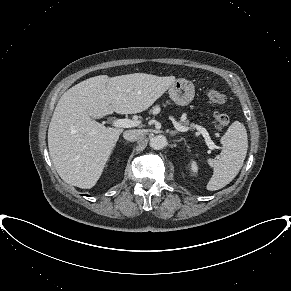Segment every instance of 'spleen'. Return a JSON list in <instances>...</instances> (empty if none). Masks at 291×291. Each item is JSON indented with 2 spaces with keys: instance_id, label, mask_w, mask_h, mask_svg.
<instances>
[{
  "instance_id": "obj_1",
  "label": "spleen",
  "mask_w": 291,
  "mask_h": 291,
  "mask_svg": "<svg viewBox=\"0 0 291 291\" xmlns=\"http://www.w3.org/2000/svg\"><path fill=\"white\" fill-rule=\"evenodd\" d=\"M223 150L216 159H208L213 167V175L207 184V190L215 191L225 187L238 174L243 166L247 149L248 138L244 125L233 122L220 140Z\"/></svg>"
}]
</instances>
